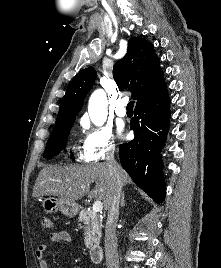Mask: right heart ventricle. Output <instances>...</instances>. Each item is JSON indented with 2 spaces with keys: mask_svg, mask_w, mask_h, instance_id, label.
Here are the masks:
<instances>
[{
  "mask_svg": "<svg viewBox=\"0 0 221 268\" xmlns=\"http://www.w3.org/2000/svg\"><path fill=\"white\" fill-rule=\"evenodd\" d=\"M75 152L77 155V158L79 161H83V162H89L90 160L87 158L85 152H84V148L81 149L79 146L75 147Z\"/></svg>",
  "mask_w": 221,
  "mask_h": 268,
  "instance_id": "obj_1",
  "label": "right heart ventricle"
}]
</instances>
